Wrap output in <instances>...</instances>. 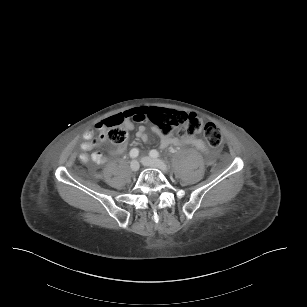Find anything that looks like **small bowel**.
<instances>
[{
	"label": "small bowel",
	"instance_id": "obj_1",
	"mask_svg": "<svg viewBox=\"0 0 307 307\" xmlns=\"http://www.w3.org/2000/svg\"><path fill=\"white\" fill-rule=\"evenodd\" d=\"M149 110L145 107H139L135 108L128 113L133 114V115H138V116H144ZM127 113V114H128ZM127 128H132V124L127 122L126 123ZM101 128V127H99ZM161 137L160 141V146L161 148H167L168 146L171 145H191L194 146L196 149L201 151L202 153H208V148L206 144L197 136L195 135H174V134H168L164 135L161 132H159L157 129H154ZM136 136L138 139L142 141H148L149 137L146 132V127L145 126H140ZM84 139L85 141L81 144V149L84 152H88L96 148L100 142L104 141V134L102 133L98 138L95 137L94 131L91 129H88L84 133ZM125 150L124 147H120L117 150L111 151V153H116V152H123ZM80 159L87 163V162H93L96 164H102L106 161L105 156L101 152H93L92 154H87L83 153L80 156Z\"/></svg>",
	"mask_w": 307,
	"mask_h": 307
}]
</instances>
